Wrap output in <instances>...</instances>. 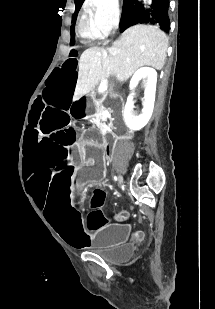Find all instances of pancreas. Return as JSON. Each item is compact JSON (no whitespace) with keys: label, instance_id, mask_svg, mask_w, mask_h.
Returning <instances> with one entry per match:
<instances>
[{"label":"pancreas","instance_id":"obj_1","mask_svg":"<svg viewBox=\"0 0 215 309\" xmlns=\"http://www.w3.org/2000/svg\"><path fill=\"white\" fill-rule=\"evenodd\" d=\"M90 96H95V92H91ZM99 114H105L104 110H102V112H99Z\"/></svg>","mask_w":215,"mask_h":309}]
</instances>
